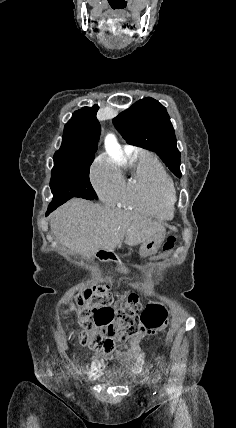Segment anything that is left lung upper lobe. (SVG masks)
Segmentation results:
<instances>
[{
	"instance_id": "left-lung-upper-lobe-1",
	"label": "left lung upper lobe",
	"mask_w": 236,
	"mask_h": 428,
	"mask_svg": "<svg viewBox=\"0 0 236 428\" xmlns=\"http://www.w3.org/2000/svg\"><path fill=\"white\" fill-rule=\"evenodd\" d=\"M113 123L128 144L157 153L166 166L181 177L180 152L166 108L151 97L121 112Z\"/></svg>"
}]
</instances>
